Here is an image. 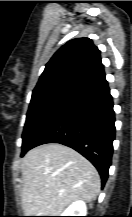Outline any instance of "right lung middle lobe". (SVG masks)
I'll list each match as a JSON object with an SVG mask.
<instances>
[{
	"label": "right lung middle lobe",
	"instance_id": "1",
	"mask_svg": "<svg viewBox=\"0 0 132 217\" xmlns=\"http://www.w3.org/2000/svg\"><path fill=\"white\" fill-rule=\"evenodd\" d=\"M76 97V94L67 91H54L32 96L22 135L21 156L31 148L44 130Z\"/></svg>",
	"mask_w": 132,
	"mask_h": 217
}]
</instances>
